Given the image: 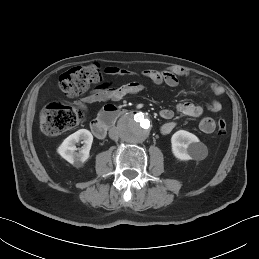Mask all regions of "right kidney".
<instances>
[{"mask_svg":"<svg viewBox=\"0 0 259 259\" xmlns=\"http://www.w3.org/2000/svg\"><path fill=\"white\" fill-rule=\"evenodd\" d=\"M81 141L83 144L79 152H76V143ZM93 142V136L90 131L80 129L68 136L58 147L57 152L69 163L76 167L81 166L89 158V152Z\"/></svg>","mask_w":259,"mask_h":259,"instance_id":"1","label":"right kidney"}]
</instances>
